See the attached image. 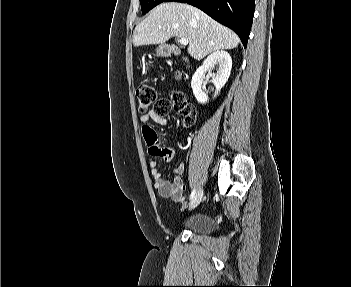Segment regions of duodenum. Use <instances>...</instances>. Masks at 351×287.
<instances>
[{"label": "duodenum", "mask_w": 351, "mask_h": 287, "mask_svg": "<svg viewBox=\"0 0 351 287\" xmlns=\"http://www.w3.org/2000/svg\"><path fill=\"white\" fill-rule=\"evenodd\" d=\"M175 52H177V50L175 48L168 47V48L162 49L160 53L162 55H169V54H172V53H175Z\"/></svg>", "instance_id": "1"}]
</instances>
